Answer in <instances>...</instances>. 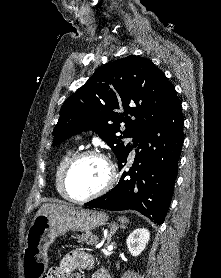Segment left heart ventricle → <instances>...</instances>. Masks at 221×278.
<instances>
[{"instance_id": "left-heart-ventricle-1", "label": "left heart ventricle", "mask_w": 221, "mask_h": 278, "mask_svg": "<svg viewBox=\"0 0 221 278\" xmlns=\"http://www.w3.org/2000/svg\"><path fill=\"white\" fill-rule=\"evenodd\" d=\"M107 179L105 163L93 156L78 160L68 175V189L71 196L83 198L102 187Z\"/></svg>"}]
</instances>
